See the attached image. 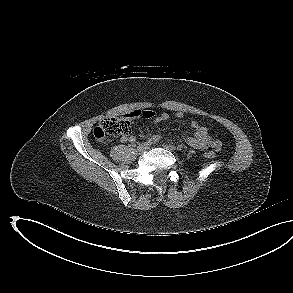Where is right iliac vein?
<instances>
[{
    "label": "right iliac vein",
    "mask_w": 293,
    "mask_h": 293,
    "mask_svg": "<svg viewBox=\"0 0 293 293\" xmlns=\"http://www.w3.org/2000/svg\"><path fill=\"white\" fill-rule=\"evenodd\" d=\"M150 145H151V144L148 143V142L142 143L141 145H139V146L137 147V153H138V154H142V153L145 152L147 149H149Z\"/></svg>",
    "instance_id": "63e3f726"
}]
</instances>
